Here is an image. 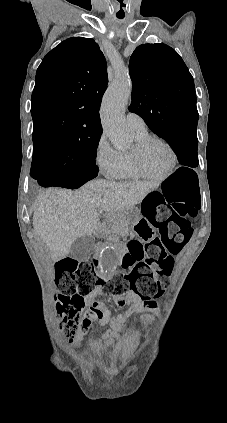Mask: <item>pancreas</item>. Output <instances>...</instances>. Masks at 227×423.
Instances as JSON below:
<instances>
[{"mask_svg":"<svg viewBox=\"0 0 227 423\" xmlns=\"http://www.w3.org/2000/svg\"><path fill=\"white\" fill-rule=\"evenodd\" d=\"M109 229L113 233V235H111V239H117V235H126V233H128L129 225H127V219H125L121 210L117 211L116 219H114Z\"/></svg>","mask_w":227,"mask_h":423,"instance_id":"obj_1","label":"pancreas"}]
</instances>
